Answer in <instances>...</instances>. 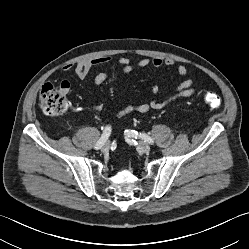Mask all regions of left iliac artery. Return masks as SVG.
<instances>
[{
    "instance_id": "1",
    "label": "left iliac artery",
    "mask_w": 249,
    "mask_h": 249,
    "mask_svg": "<svg viewBox=\"0 0 249 249\" xmlns=\"http://www.w3.org/2000/svg\"><path fill=\"white\" fill-rule=\"evenodd\" d=\"M125 135L128 136V137L141 138L145 142H148L149 144L154 143V140L150 136H148L145 133H138L135 130H125Z\"/></svg>"
}]
</instances>
